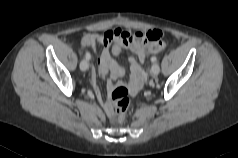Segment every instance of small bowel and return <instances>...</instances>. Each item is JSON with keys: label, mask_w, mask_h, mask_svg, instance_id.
<instances>
[{"label": "small bowel", "mask_w": 238, "mask_h": 158, "mask_svg": "<svg viewBox=\"0 0 238 158\" xmlns=\"http://www.w3.org/2000/svg\"><path fill=\"white\" fill-rule=\"evenodd\" d=\"M160 33L157 30L147 32L131 33L122 29H114L106 31L103 34L88 33L81 38L82 47H91L97 52L98 72L106 78L111 75L112 78L121 77L124 74V69L111 56L109 51L114 55H119L123 49H128L134 53L140 61H143L144 54L150 51L152 42L147 38L148 34ZM130 73H131V89L136 91L143 79L144 73L139 62L134 57H129ZM96 70L92 69V81L95 86L97 96L102 100L100 91L96 84ZM111 86V84H110ZM104 109L109 113L110 103H104Z\"/></svg>", "instance_id": "1"}]
</instances>
